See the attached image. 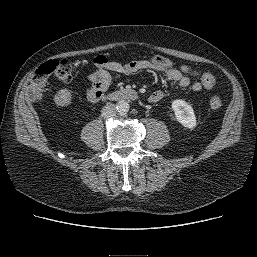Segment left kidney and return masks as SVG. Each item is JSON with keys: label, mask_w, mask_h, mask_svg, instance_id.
<instances>
[{"label": "left kidney", "mask_w": 257, "mask_h": 257, "mask_svg": "<svg viewBox=\"0 0 257 257\" xmlns=\"http://www.w3.org/2000/svg\"><path fill=\"white\" fill-rule=\"evenodd\" d=\"M171 106L174 111L176 120L180 124L189 129L196 127V117L190 104L184 100L177 99L172 102Z\"/></svg>", "instance_id": "1"}]
</instances>
